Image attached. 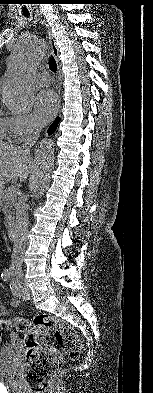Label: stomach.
<instances>
[{
    "mask_svg": "<svg viewBox=\"0 0 153 393\" xmlns=\"http://www.w3.org/2000/svg\"><path fill=\"white\" fill-rule=\"evenodd\" d=\"M3 194V189L2 190H0V196Z\"/></svg>",
    "mask_w": 153,
    "mask_h": 393,
    "instance_id": "1",
    "label": "stomach"
}]
</instances>
